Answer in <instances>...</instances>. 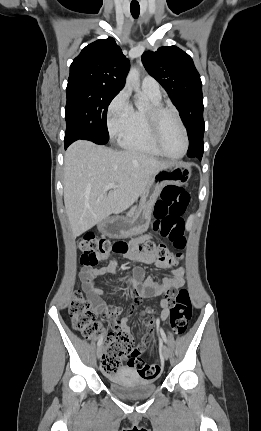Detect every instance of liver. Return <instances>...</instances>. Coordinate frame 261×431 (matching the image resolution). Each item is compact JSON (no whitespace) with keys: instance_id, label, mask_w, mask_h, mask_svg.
<instances>
[{"instance_id":"1","label":"liver","mask_w":261,"mask_h":431,"mask_svg":"<svg viewBox=\"0 0 261 431\" xmlns=\"http://www.w3.org/2000/svg\"><path fill=\"white\" fill-rule=\"evenodd\" d=\"M169 164L89 141L71 144L64 157V203L73 236L126 210L143 194L153 175ZM109 183L116 187L107 189Z\"/></svg>"}]
</instances>
